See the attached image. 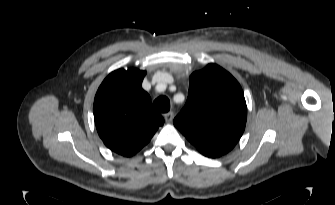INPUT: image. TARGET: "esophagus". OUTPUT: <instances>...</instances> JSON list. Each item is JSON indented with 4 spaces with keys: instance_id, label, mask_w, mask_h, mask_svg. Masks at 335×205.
<instances>
[{
    "instance_id": "esophagus-1",
    "label": "esophagus",
    "mask_w": 335,
    "mask_h": 205,
    "mask_svg": "<svg viewBox=\"0 0 335 205\" xmlns=\"http://www.w3.org/2000/svg\"><path fill=\"white\" fill-rule=\"evenodd\" d=\"M173 117H174V113L173 112H168V113L164 114V119H165V121L167 123L172 122Z\"/></svg>"
}]
</instances>
